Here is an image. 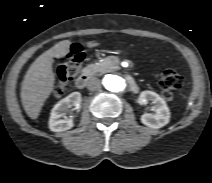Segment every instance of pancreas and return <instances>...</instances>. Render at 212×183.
I'll return each mask as SVG.
<instances>
[{"label": "pancreas", "mask_w": 212, "mask_h": 183, "mask_svg": "<svg viewBox=\"0 0 212 183\" xmlns=\"http://www.w3.org/2000/svg\"><path fill=\"white\" fill-rule=\"evenodd\" d=\"M119 63L120 59L118 57L109 56L98 63L89 65L86 71L90 72L91 75L114 72L120 69Z\"/></svg>", "instance_id": "1"}]
</instances>
